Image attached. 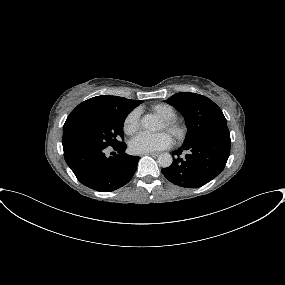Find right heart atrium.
<instances>
[{
	"label": "right heart atrium",
	"instance_id": "obj_1",
	"mask_svg": "<svg viewBox=\"0 0 285 285\" xmlns=\"http://www.w3.org/2000/svg\"><path fill=\"white\" fill-rule=\"evenodd\" d=\"M140 126L138 110L131 111L124 121V132L126 134H134Z\"/></svg>",
	"mask_w": 285,
	"mask_h": 285
}]
</instances>
